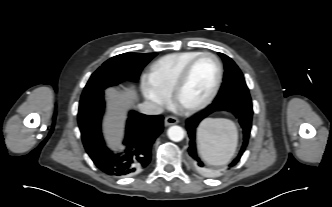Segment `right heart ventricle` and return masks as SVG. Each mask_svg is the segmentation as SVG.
I'll list each match as a JSON object with an SVG mask.
<instances>
[{"instance_id":"1","label":"right heart ventricle","mask_w":332,"mask_h":207,"mask_svg":"<svg viewBox=\"0 0 332 207\" xmlns=\"http://www.w3.org/2000/svg\"><path fill=\"white\" fill-rule=\"evenodd\" d=\"M199 53L201 52L185 51L159 58L149 68V72L146 75L148 83L169 96L184 66Z\"/></svg>"}]
</instances>
